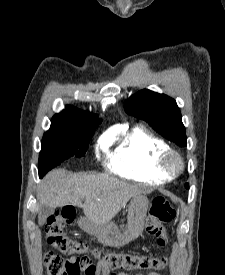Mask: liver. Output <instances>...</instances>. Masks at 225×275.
Returning <instances> with one entry per match:
<instances>
[{"label": "liver", "instance_id": "6515ba94", "mask_svg": "<svg viewBox=\"0 0 225 275\" xmlns=\"http://www.w3.org/2000/svg\"><path fill=\"white\" fill-rule=\"evenodd\" d=\"M145 191L107 174H74L65 169L49 172L38 192L39 205L52 208L72 205L83 209L97 225L109 223L127 202ZM85 199L82 204V200ZM42 224V223H41Z\"/></svg>", "mask_w": 225, "mask_h": 275}]
</instances>
